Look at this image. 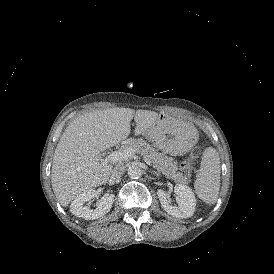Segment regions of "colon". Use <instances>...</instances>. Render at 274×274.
I'll return each mask as SVG.
<instances>
[{
    "instance_id": "colon-1",
    "label": "colon",
    "mask_w": 274,
    "mask_h": 274,
    "mask_svg": "<svg viewBox=\"0 0 274 274\" xmlns=\"http://www.w3.org/2000/svg\"><path fill=\"white\" fill-rule=\"evenodd\" d=\"M201 152L199 148L194 149L189 156L179 165V170L182 174L188 175L194 169V163L200 156Z\"/></svg>"
}]
</instances>
